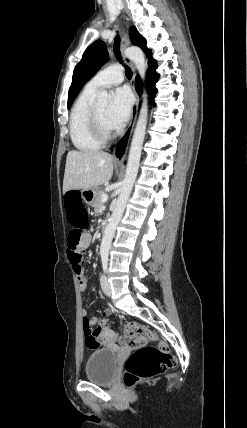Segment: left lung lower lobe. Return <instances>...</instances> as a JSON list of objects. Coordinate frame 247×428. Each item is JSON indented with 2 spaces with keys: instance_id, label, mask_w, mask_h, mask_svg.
<instances>
[{
  "instance_id": "1",
  "label": "left lung lower lobe",
  "mask_w": 247,
  "mask_h": 428,
  "mask_svg": "<svg viewBox=\"0 0 247 428\" xmlns=\"http://www.w3.org/2000/svg\"><path fill=\"white\" fill-rule=\"evenodd\" d=\"M148 66H149V68H148L147 77H146V85H147L148 93L153 98L157 92V89L155 88V83L157 82V80L159 78V74L155 72V70L157 68L156 61L154 59H152L151 57H149ZM135 87H136V90L139 93V95H141V93H142V82H141L139 76H137V78H136Z\"/></svg>"
}]
</instances>
